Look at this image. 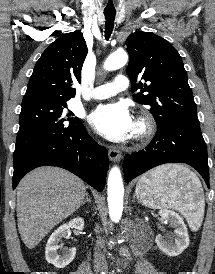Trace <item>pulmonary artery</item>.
Wrapping results in <instances>:
<instances>
[{
  "label": "pulmonary artery",
  "mask_w": 215,
  "mask_h": 274,
  "mask_svg": "<svg viewBox=\"0 0 215 274\" xmlns=\"http://www.w3.org/2000/svg\"><path fill=\"white\" fill-rule=\"evenodd\" d=\"M128 84V78L125 75H117L112 82L94 88L91 97L98 100L109 98L127 89Z\"/></svg>",
  "instance_id": "pulmonary-artery-1"
}]
</instances>
